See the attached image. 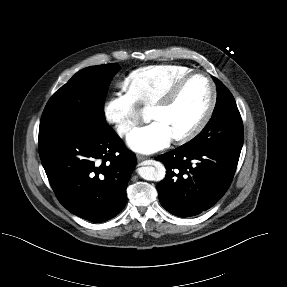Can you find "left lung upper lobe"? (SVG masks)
Listing matches in <instances>:
<instances>
[{
  "label": "left lung upper lobe",
  "instance_id": "obj_1",
  "mask_svg": "<svg viewBox=\"0 0 287 287\" xmlns=\"http://www.w3.org/2000/svg\"><path fill=\"white\" fill-rule=\"evenodd\" d=\"M217 85V101L213 115L205 128L188 144L220 146L241 151L243 124L234 97L224 84L212 77Z\"/></svg>",
  "mask_w": 287,
  "mask_h": 287
}]
</instances>
